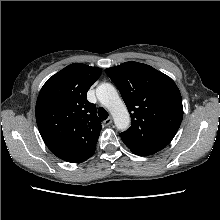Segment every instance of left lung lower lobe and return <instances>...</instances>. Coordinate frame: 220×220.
I'll use <instances>...</instances> for the list:
<instances>
[{"label": "left lung lower lobe", "instance_id": "left-lung-lower-lobe-1", "mask_svg": "<svg viewBox=\"0 0 220 220\" xmlns=\"http://www.w3.org/2000/svg\"><path fill=\"white\" fill-rule=\"evenodd\" d=\"M134 154L140 155V156H148L154 154V152H149V151H135L131 150Z\"/></svg>", "mask_w": 220, "mask_h": 220}]
</instances>
